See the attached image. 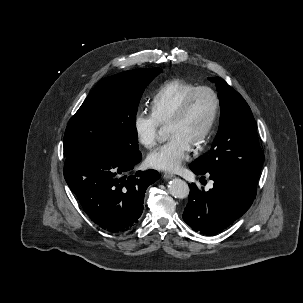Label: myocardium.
<instances>
[{"instance_id":"1","label":"myocardium","mask_w":303,"mask_h":303,"mask_svg":"<svg viewBox=\"0 0 303 303\" xmlns=\"http://www.w3.org/2000/svg\"><path fill=\"white\" fill-rule=\"evenodd\" d=\"M201 91H206L211 94V96L214 100V108H213V112H212L211 118L209 120V123H208L206 129L204 130L202 135L199 137V139L194 144V146L196 148L202 147L206 143V141L209 139V137L217 123L218 117H219L220 106H221L220 98H219L217 92L213 88L203 85V86H197L194 89H192L183 98L180 105L178 106V108L176 109L174 114L170 117L169 121L167 122L168 124H170V123L177 122V121H180L181 119H183L189 109L191 101L193 100L195 95Z\"/></svg>"}]
</instances>
